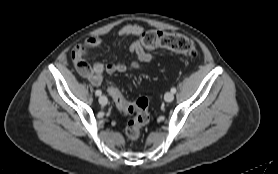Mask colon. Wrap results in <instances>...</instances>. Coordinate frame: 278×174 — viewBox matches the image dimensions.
<instances>
[{"instance_id":"5ec220e1","label":"colon","mask_w":278,"mask_h":174,"mask_svg":"<svg viewBox=\"0 0 278 174\" xmlns=\"http://www.w3.org/2000/svg\"><path fill=\"white\" fill-rule=\"evenodd\" d=\"M141 43L147 48H166L191 58L198 56V50L194 41L179 33L150 30L143 33ZM77 53L80 60L79 64H88L86 48L79 47ZM106 91L119 110L133 115L126 126L125 132L130 140H137L140 137L141 129L150 120L148 100L140 97L132 102H128L124 98L121 90L112 82L106 85Z\"/></svg>"}]
</instances>
